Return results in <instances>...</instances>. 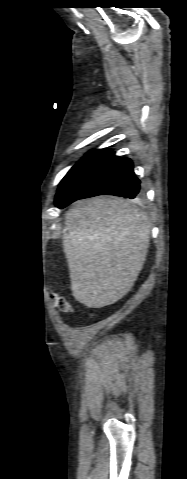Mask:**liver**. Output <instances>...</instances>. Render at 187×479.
Listing matches in <instances>:
<instances>
[{
	"label": "liver",
	"mask_w": 187,
	"mask_h": 479,
	"mask_svg": "<svg viewBox=\"0 0 187 479\" xmlns=\"http://www.w3.org/2000/svg\"><path fill=\"white\" fill-rule=\"evenodd\" d=\"M150 241L147 217L130 201H78L62 237L74 298L89 308L114 304L133 287Z\"/></svg>",
	"instance_id": "liver-1"
}]
</instances>
